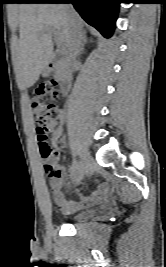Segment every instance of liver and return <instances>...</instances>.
I'll use <instances>...</instances> for the list:
<instances>
[{
    "label": "liver",
    "mask_w": 166,
    "mask_h": 267,
    "mask_svg": "<svg viewBox=\"0 0 166 267\" xmlns=\"http://www.w3.org/2000/svg\"><path fill=\"white\" fill-rule=\"evenodd\" d=\"M83 26L73 9L70 14L62 4H22L19 6V41L14 53V69L18 85L33 86L52 59L53 42L45 29L53 27L68 46L69 21Z\"/></svg>",
    "instance_id": "liver-1"
}]
</instances>
